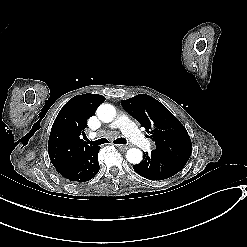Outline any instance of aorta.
Returning <instances> with one entry per match:
<instances>
[{
  "instance_id": "obj_1",
  "label": "aorta",
  "mask_w": 247,
  "mask_h": 247,
  "mask_svg": "<svg viewBox=\"0 0 247 247\" xmlns=\"http://www.w3.org/2000/svg\"><path fill=\"white\" fill-rule=\"evenodd\" d=\"M96 112L98 118L104 123L113 121L116 115V110L111 104H101ZM142 156L141 150L132 148L127 151L126 159L132 164H139L142 161Z\"/></svg>"
}]
</instances>
